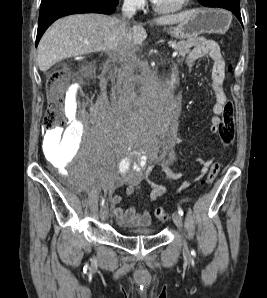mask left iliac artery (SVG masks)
Returning <instances> with one entry per match:
<instances>
[{
    "label": "left iliac artery",
    "instance_id": "44dca946",
    "mask_svg": "<svg viewBox=\"0 0 267 298\" xmlns=\"http://www.w3.org/2000/svg\"><path fill=\"white\" fill-rule=\"evenodd\" d=\"M178 213L181 215V216H183V210H182V208L181 207H178ZM191 254H195V251L194 250H192L191 251Z\"/></svg>",
    "mask_w": 267,
    "mask_h": 298
}]
</instances>
